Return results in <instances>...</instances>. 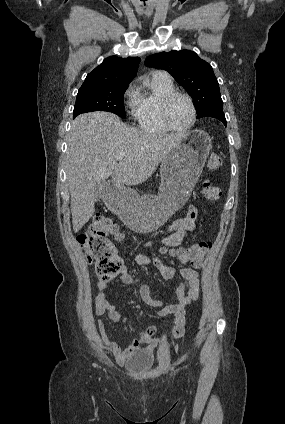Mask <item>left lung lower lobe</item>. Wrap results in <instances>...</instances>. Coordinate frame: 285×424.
Wrapping results in <instances>:
<instances>
[{
	"instance_id": "1",
	"label": "left lung lower lobe",
	"mask_w": 285,
	"mask_h": 424,
	"mask_svg": "<svg viewBox=\"0 0 285 424\" xmlns=\"http://www.w3.org/2000/svg\"><path fill=\"white\" fill-rule=\"evenodd\" d=\"M202 117H212L220 120L226 126L225 114L222 107H214L207 111ZM201 118V117H200Z\"/></svg>"
}]
</instances>
